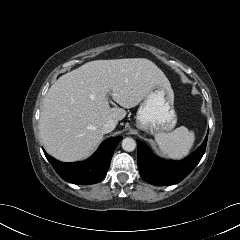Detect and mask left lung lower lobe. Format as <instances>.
<instances>
[{
  "mask_svg": "<svg viewBox=\"0 0 240 240\" xmlns=\"http://www.w3.org/2000/svg\"><path fill=\"white\" fill-rule=\"evenodd\" d=\"M207 144V136L202 145L182 161H163L155 157L145 143L137 140L138 168L146 182L156 186L176 184L187 177L201 160Z\"/></svg>",
  "mask_w": 240,
  "mask_h": 240,
  "instance_id": "obj_1",
  "label": "left lung lower lobe"
}]
</instances>
